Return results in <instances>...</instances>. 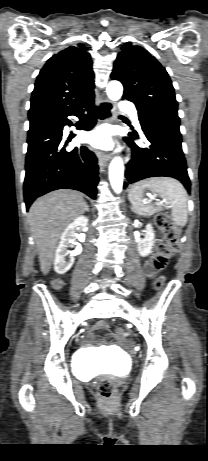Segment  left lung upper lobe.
Returning <instances> with one entry per match:
<instances>
[{
	"label": "left lung upper lobe",
	"mask_w": 208,
	"mask_h": 461,
	"mask_svg": "<svg viewBox=\"0 0 208 461\" xmlns=\"http://www.w3.org/2000/svg\"><path fill=\"white\" fill-rule=\"evenodd\" d=\"M111 78L123 84V99L136 105L139 119L158 112L178 115L174 88L166 69L142 47L131 42L124 44Z\"/></svg>",
	"instance_id": "left-lung-upper-lobe-1"
}]
</instances>
